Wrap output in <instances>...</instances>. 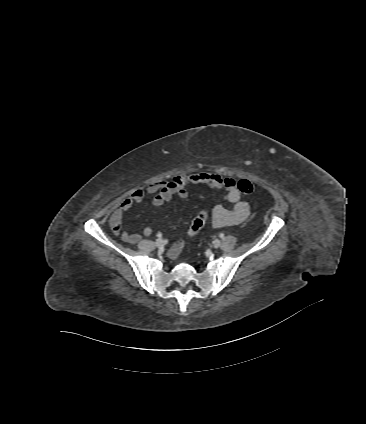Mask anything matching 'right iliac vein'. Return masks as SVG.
<instances>
[{
	"instance_id": "right-iliac-vein-1",
	"label": "right iliac vein",
	"mask_w": 366,
	"mask_h": 424,
	"mask_svg": "<svg viewBox=\"0 0 366 424\" xmlns=\"http://www.w3.org/2000/svg\"><path fill=\"white\" fill-rule=\"evenodd\" d=\"M155 245H156L157 247H163V246H164V240H163V239H161V238L157 239V240L155 241Z\"/></svg>"
}]
</instances>
